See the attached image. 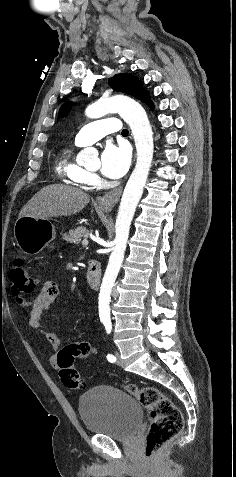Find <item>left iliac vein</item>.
<instances>
[{"mask_svg":"<svg viewBox=\"0 0 236 477\" xmlns=\"http://www.w3.org/2000/svg\"><path fill=\"white\" fill-rule=\"evenodd\" d=\"M115 356H116V358H117V364H118V365H121V358H120L119 352L116 351V352H115Z\"/></svg>","mask_w":236,"mask_h":477,"instance_id":"4c4485c4","label":"left iliac vein"}]
</instances>
